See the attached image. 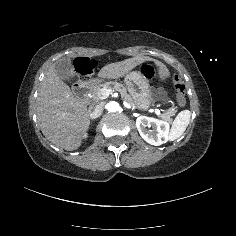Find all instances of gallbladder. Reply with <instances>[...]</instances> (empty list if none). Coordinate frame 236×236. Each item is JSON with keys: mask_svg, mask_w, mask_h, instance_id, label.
Segmentation results:
<instances>
[{"mask_svg": "<svg viewBox=\"0 0 236 236\" xmlns=\"http://www.w3.org/2000/svg\"><path fill=\"white\" fill-rule=\"evenodd\" d=\"M57 76L62 80H69L74 77L73 70L71 68V60L68 57H63L57 60L54 64Z\"/></svg>", "mask_w": 236, "mask_h": 236, "instance_id": "bac80fb5", "label": "gallbladder"}]
</instances>
